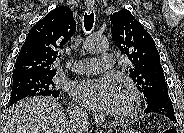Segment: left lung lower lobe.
Wrapping results in <instances>:
<instances>
[{
  "label": "left lung lower lobe",
  "instance_id": "0a47b994",
  "mask_svg": "<svg viewBox=\"0 0 184 133\" xmlns=\"http://www.w3.org/2000/svg\"><path fill=\"white\" fill-rule=\"evenodd\" d=\"M144 113H158L168 117L173 122H176L174 116L173 105L169 97H161L148 103Z\"/></svg>",
  "mask_w": 184,
  "mask_h": 133
}]
</instances>
